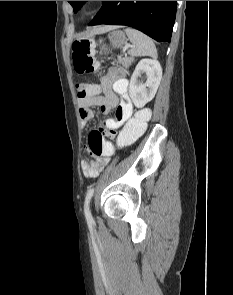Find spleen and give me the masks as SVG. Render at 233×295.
<instances>
[{"label": "spleen", "instance_id": "obj_1", "mask_svg": "<svg viewBox=\"0 0 233 295\" xmlns=\"http://www.w3.org/2000/svg\"><path fill=\"white\" fill-rule=\"evenodd\" d=\"M125 32L133 43V48L129 51L131 56H151L157 58V49L150 37L133 28H126Z\"/></svg>", "mask_w": 233, "mask_h": 295}]
</instances>
